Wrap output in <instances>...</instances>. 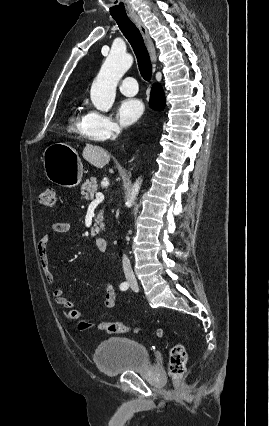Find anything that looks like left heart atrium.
<instances>
[{
    "mask_svg": "<svg viewBox=\"0 0 269 426\" xmlns=\"http://www.w3.org/2000/svg\"><path fill=\"white\" fill-rule=\"evenodd\" d=\"M143 110V103L139 99H125L117 110L118 121L124 127L130 126L142 116Z\"/></svg>",
    "mask_w": 269,
    "mask_h": 426,
    "instance_id": "left-heart-atrium-1",
    "label": "left heart atrium"
}]
</instances>
